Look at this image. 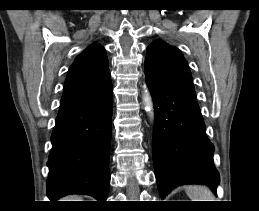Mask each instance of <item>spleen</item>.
Wrapping results in <instances>:
<instances>
[{
    "label": "spleen",
    "mask_w": 259,
    "mask_h": 211,
    "mask_svg": "<svg viewBox=\"0 0 259 211\" xmlns=\"http://www.w3.org/2000/svg\"><path fill=\"white\" fill-rule=\"evenodd\" d=\"M186 193L191 201H215L213 193L206 186L189 185L186 187Z\"/></svg>",
    "instance_id": "3e777b00"
}]
</instances>
